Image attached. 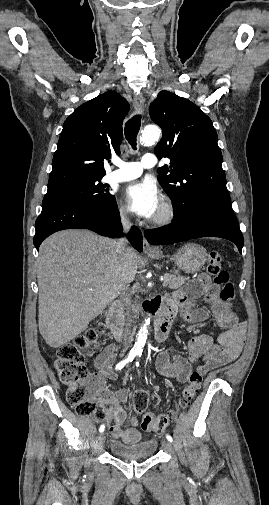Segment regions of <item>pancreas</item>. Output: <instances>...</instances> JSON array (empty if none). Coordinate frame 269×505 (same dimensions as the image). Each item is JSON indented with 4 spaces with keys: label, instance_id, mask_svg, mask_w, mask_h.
<instances>
[{
    "label": "pancreas",
    "instance_id": "pancreas-1",
    "mask_svg": "<svg viewBox=\"0 0 269 505\" xmlns=\"http://www.w3.org/2000/svg\"><path fill=\"white\" fill-rule=\"evenodd\" d=\"M188 278L183 277V276H176L172 274H165L164 275V282L166 283V286L170 289H178L180 288L187 280ZM139 309L137 306L136 311Z\"/></svg>",
    "mask_w": 269,
    "mask_h": 505
}]
</instances>
